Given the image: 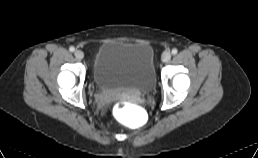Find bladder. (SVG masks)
<instances>
[{
  "label": "bladder",
  "mask_w": 258,
  "mask_h": 158,
  "mask_svg": "<svg viewBox=\"0 0 258 158\" xmlns=\"http://www.w3.org/2000/svg\"><path fill=\"white\" fill-rule=\"evenodd\" d=\"M92 78L101 89L150 93L156 84L153 48L147 43L105 42L96 53Z\"/></svg>",
  "instance_id": "1"
}]
</instances>
